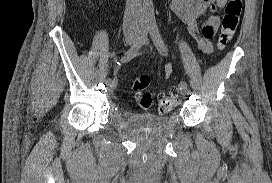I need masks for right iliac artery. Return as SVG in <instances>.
Segmentation results:
<instances>
[{"label":"right iliac artery","mask_w":272,"mask_h":183,"mask_svg":"<svg viewBox=\"0 0 272 183\" xmlns=\"http://www.w3.org/2000/svg\"><path fill=\"white\" fill-rule=\"evenodd\" d=\"M148 30H149L148 24L141 25L137 41L131 46V48L121 58V63H127L137 55L138 50L140 49L143 41L145 40V38L147 36ZM117 79H118L117 76H110V78H108L107 80L108 81H117Z\"/></svg>","instance_id":"82829eb1"}]
</instances>
